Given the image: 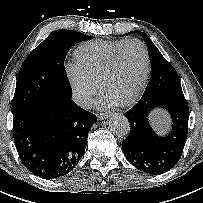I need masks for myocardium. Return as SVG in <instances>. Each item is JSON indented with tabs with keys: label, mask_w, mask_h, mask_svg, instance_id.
Masks as SVG:
<instances>
[{
	"label": "myocardium",
	"mask_w": 203,
	"mask_h": 203,
	"mask_svg": "<svg viewBox=\"0 0 203 203\" xmlns=\"http://www.w3.org/2000/svg\"><path fill=\"white\" fill-rule=\"evenodd\" d=\"M138 44L139 46H141L143 53H144V58H145V65H144V71H143V76L141 79V82L137 88V90L135 91V93L127 100L120 102L119 104L121 106H129L132 105L133 103H135L143 94L145 87L147 85V81H148V77H149V73H150V54H149V50L147 48V46L145 45V43L137 38H132V39H128L125 40L112 54V56L110 57L109 61L107 62L106 66L104 67L102 73H101V77L99 80V86H100V90L101 92H104L105 89V85L108 81V79L110 78L111 74L113 73V71L116 68L119 56L121 51L129 44Z\"/></svg>",
	"instance_id": "f54148a6"
}]
</instances>
